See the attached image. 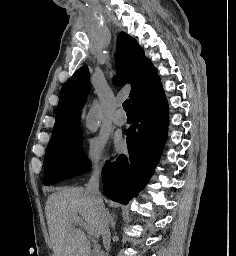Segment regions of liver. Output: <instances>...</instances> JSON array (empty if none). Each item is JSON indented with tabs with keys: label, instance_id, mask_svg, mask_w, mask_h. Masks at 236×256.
<instances>
[{
	"label": "liver",
	"instance_id": "6515ba94",
	"mask_svg": "<svg viewBox=\"0 0 236 256\" xmlns=\"http://www.w3.org/2000/svg\"><path fill=\"white\" fill-rule=\"evenodd\" d=\"M80 214L93 234L101 236L108 220L95 200L83 188H61L48 196L45 216L54 256H90L91 244L84 232L73 226V216Z\"/></svg>",
	"mask_w": 236,
	"mask_h": 256
}]
</instances>
